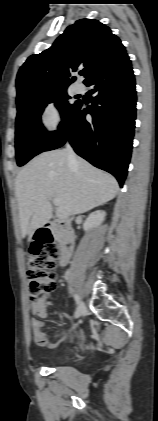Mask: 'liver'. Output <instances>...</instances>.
<instances>
[{"label":"liver","instance_id":"liver-1","mask_svg":"<svg viewBox=\"0 0 158 421\" xmlns=\"http://www.w3.org/2000/svg\"><path fill=\"white\" fill-rule=\"evenodd\" d=\"M118 189L112 175L82 158L69 163L65 150L43 152L30 160L15 180L22 236L30 240L35 230L50 220L52 198L60 202L56 217L64 220L112 200Z\"/></svg>","mask_w":158,"mask_h":421}]
</instances>
